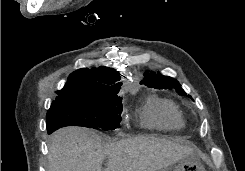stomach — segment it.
<instances>
[{"label": "stomach", "instance_id": "stomach-1", "mask_svg": "<svg viewBox=\"0 0 245 171\" xmlns=\"http://www.w3.org/2000/svg\"><path fill=\"white\" fill-rule=\"evenodd\" d=\"M160 171H167L161 169ZM172 171H206L205 166L196 154L187 156L179 161Z\"/></svg>", "mask_w": 245, "mask_h": 171}]
</instances>
